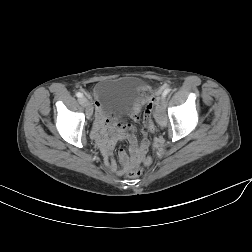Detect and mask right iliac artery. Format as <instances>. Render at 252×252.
Returning <instances> with one entry per match:
<instances>
[{
	"mask_svg": "<svg viewBox=\"0 0 252 252\" xmlns=\"http://www.w3.org/2000/svg\"><path fill=\"white\" fill-rule=\"evenodd\" d=\"M76 96H77L78 98H82V97H83V94L80 93V92H77V93H76Z\"/></svg>",
	"mask_w": 252,
	"mask_h": 252,
	"instance_id": "obj_1",
	"label": "right iliac artery"
}]
</instances>
